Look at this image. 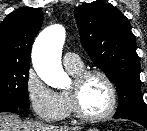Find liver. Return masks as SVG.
Instances as JSON below:
<instances>
[{"label":"liver","instance_id":"obj_1","mask_svg":"<svg viewBox=\"0 0 147 131\" xmlns=\"http://www.w3.org/2000/svg\"><path fill=\"white\" fill-rule=\"evenodd\" d=\"M79 127H58L22 121L14 114L0 113V131H78Z\"/></svg>","mask_w":147,"mask_h":131}]
</instances>
